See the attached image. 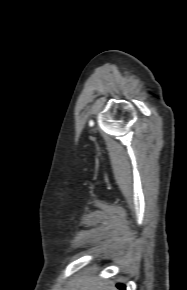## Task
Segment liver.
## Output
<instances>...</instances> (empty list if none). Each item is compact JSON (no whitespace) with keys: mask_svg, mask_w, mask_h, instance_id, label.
Masks as SVG:
<instances>
[{"mask_svg":"<svg viewBox=\"0 0 187 290\" xmlns=\"http://www.w3.org/2000/svg\"><path fill=\"white\" fill-rule=\"evenodd\" d=\"M72 290H115L106 282L95 280L94 277H82L76 280Z\"/></svg>","mask_w":187,"mask_h":290,"instance_id":"obj_1","label":"liver"}]
</instances>
